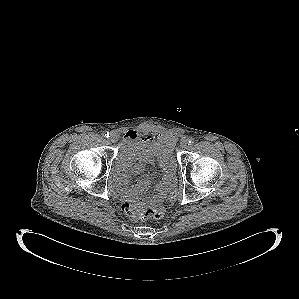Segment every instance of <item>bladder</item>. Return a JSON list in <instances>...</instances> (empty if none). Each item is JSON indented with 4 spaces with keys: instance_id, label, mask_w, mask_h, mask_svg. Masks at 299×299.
<instances>
[{
    "instance_id": "1",
    "label": "bladder",
    "mask_w": 299,
    "mask_h": 299,
    "mask_svg": "<svg viewBox=\"0 0 299 299\" xmlns=\"http://www.w3.org/2000/svg\"><path fill=\"white\" fill-rule=\"evenodd\" d=\"M138 148L139 145L135 141L127 140L125 142L121 153L114 160L113 173L116 177L120 174V164L125 152L128 150H137ZM152 150L157 158L166 156L173 160V146L167 136L161 135L156 138L152 145Z\"/></svg>"
}]
</instances>
